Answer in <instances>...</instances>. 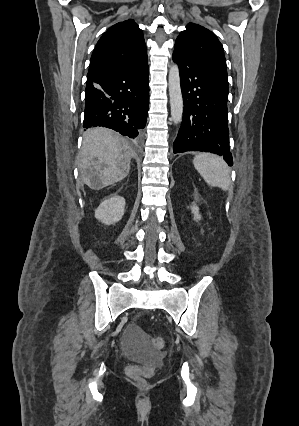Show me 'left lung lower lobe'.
I'll return each instance as SVG.
<instances>
[{
	"label": "left lung lower lobe",
	"mask_w": 299,
	"mask_h": 426,
	"mask_svg": "<svg viewBox=\"0 0 299 426\" xmlns=\"http://www.w3.org/2000/svg\"><path fill=\"white\" fill-rule=\"evenodd\" d=\"M173 60L179 66L184 101L183 122L173 144L174 153L212 152L222 155L232 166L227 125L228 87L176 50Z\"/></svg>",
	"instance_id": "1"
}]
</instances>
